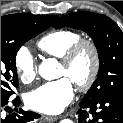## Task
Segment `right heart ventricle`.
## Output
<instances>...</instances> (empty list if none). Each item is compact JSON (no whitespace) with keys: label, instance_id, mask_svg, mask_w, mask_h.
Here are the masks:
<instances>
[{"label":"right heart ventricle","instance_id":"1","mask_svg":"<svg viewBox=\"0 0 123 123\" xmlns=\"http://www.w3.org/2000/svg\"><path fill=\"white\" fill-rule=\"evenodd\" d=\"M80 39V34L71 30H55L44 35L37 43L44 54L62 58L66 51Z\"/></svg>","mask_w":123,"mask_h":123}]
</instances>
